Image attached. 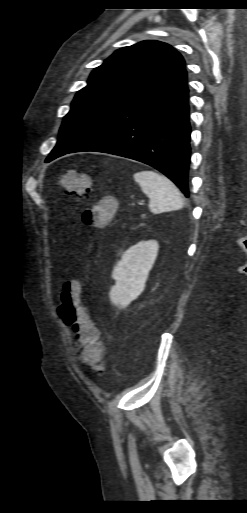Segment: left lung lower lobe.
Returning <instances> with one entry per match:
<instances>
[{
    "label": "left lung lower lobe",
    "mask_w": 247,
    "mask_h": 513,
    "mask_svg": "<svg viewBox=\"0 0 247 513\" xmlns=\"http://www.w3.org/2000/svg\"><path fill=\"white\" fill-rule=\"evenodd\" d=\"M190 129L184 69L58 143L46 162L80 151L123 156L158 169L189 197Z\"/></svg>",
    "instance_id": "1"
}]
</instances>
